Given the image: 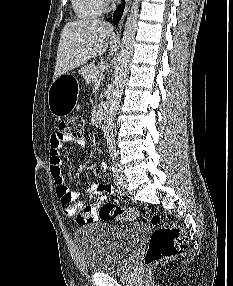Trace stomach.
Listing matches in <instances>:
<instances>
[{
  "label": "stomach",
  "mask_w": 233,
  "mask_h": 286,
  "mask_svg": "<svg viewBox=\"0 0 233 286\" xmlns=\"http://www.w3.org/2000/svg\"><path fill=\"white\" fill-rule=\"evenodd\" d=\"M63 76L55 79L48 91L49 110L57 118L69 114L77 102V91L69 86Z\"/></svg>",
  "instance_id": "1"
}]
</instances>
